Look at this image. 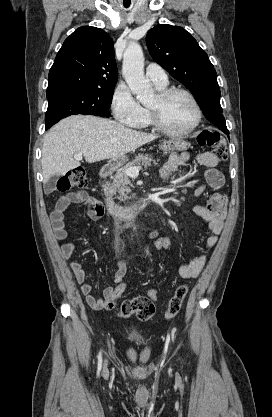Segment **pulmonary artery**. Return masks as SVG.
<instances>
[{
    "label": "pulmonary artery",
    "instance_id": "obj_1",
    "mask_svg": "<svg viewBox=\"0 0 272 417\" xmlns=\"http://www.w3.org/2000/svg\"><path fill=\"white\" fill-rule=\"evenodd\" d=\"M146 77L156 86L164 87L168 84L165 70L158 64L151 63L146 67Z\"/></svg>",
    "mask_w": 272,
    "mask_h": 417
}]
</instances>
